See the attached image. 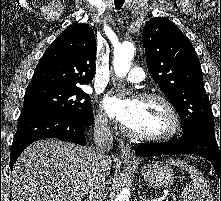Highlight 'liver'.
I'll return each mask as SVG.
<instances>
[{
  "instance_id": "liver-1",
  "label": "liver",
  "mask_w": 221,
  "mask_h": 201,
  "mask_svg": "<svg viewBox=\"0 0 221 201\" xmlns=\"http://www.w3.org/2000/svg\"><path fill=\"white\" fill-rule=\"evenodd\" d=\"M112 159L109 157L107 175ZM91 151L54 139L29 145L16 161L12 201H81L89 192Z\"/></svg>"
}]
</instances>
